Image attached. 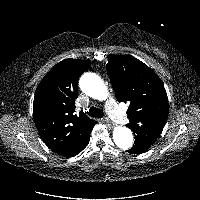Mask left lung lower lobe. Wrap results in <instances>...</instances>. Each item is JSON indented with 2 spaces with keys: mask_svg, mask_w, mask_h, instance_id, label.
I'll return each instance as SVG.
<instances>
[{
  "mask_svg": "<svg viewBox=\"0 0 200 200\" xmlns=\"http://www.w3.org/2000/svg\"><path fill=\"white\" fill-rule=\"evenodd\" d=\"M150 146L147 144H135L131 149L127 150L129 153L132 154H141L144 153L149 149Z\"/></svg>",
  "mask_w": 200,
  "mask_h": 200,
  "instance_id": "0a47b994",
  "label": "left lung lower lobe"
}]
</instances>
